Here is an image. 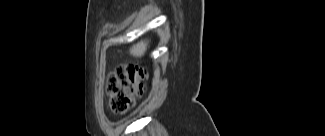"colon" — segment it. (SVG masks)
Here are the masks:
<instances>
[{
    "instance_id": "colon-1",
    "label": "colon",
    "mask_w": 325,
    "mask_h": 136,
    "mask_svg": "<svg viewBox=\"0 0 325 136\" xmlns=\"http://www.w3.org/2000/svg\"><path fill=\"white\" fill-rule=\"evenodd\" d=\"M146 70L135 65H122L110 74L107 81L109 105L117 114L126 113L135 99L145 91Z\"/></svg>"
}]
</instances>
